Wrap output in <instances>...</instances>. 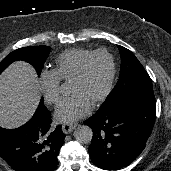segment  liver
<instances>
[{"mask_svg":"<svg viewBox=\"0 0 171 171\" xmlns=\"http://www.w3.org/2000/svg\"><path fill=\"white\" fill-rule=\"evenodd\" d=\"M35 69L24 61L11 64L0 75V126L16 128L27 122L40 101Z\"/></svg>","mask_w":171,"mask_h":171,"instance_id":"liver-1","label":"liver"}]
</instances>
